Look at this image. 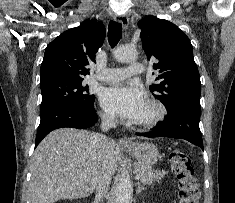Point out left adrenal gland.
Listing matches in <instances>:
<instances>
[{
    "instance_id": "obj_1",
    "label": "left adrenal gland",
    "mask_w": 235,
    "mask_h": 203,
    "mask_svg": "<svg viewBox=\"0 0 235 203\" xmlns=\"http://www.w3.org/2000/svg\"><path fill=\"white\" fill-rule=\"evenodd\" d=\"M143 190H145V188L142 187L141 184L138 182V183H137V190H136V193L139 194V193H141Z\"/></svg>"
}]
</instances>
